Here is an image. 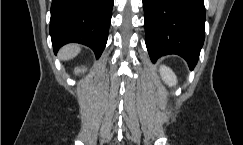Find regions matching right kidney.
<instances>
[{
  "mask_svg": "<svg viewBox=\"0 0 243 145\" xmlns=\"http://www.w3.org/2000/svg\"><path fill=\"white\" fill-rule=\"evenodd\" d=\"M83 72H84V70H82ZM79 72H81V70L80 69H75V73H79Z\"/></svg>",
  "mask_w": 243,
  "mask_h": 145,
  "instance_id": "right-kidney-1",
  "label": "right kidney"
}]
</instances>
